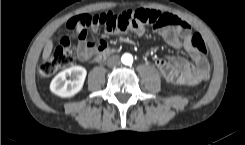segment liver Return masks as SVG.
<instances>
[{
	"instance_id": "obj_1",
	"label": "liver",
	"mask_w": 245,
	"mask_h": 145,
	"mask_svg": "<svg viewBox=\"0 0 245 145\" xmlns=\"http://www.w3.org/2000/svg\"><path fill=\"white\" fill-rule=\"evenodd\" d=\"M52 49H53V42L52 40H48L45 44L43 54H42V59L44 62H46L50 57Z\"/></svg>"
}]
</instances>
